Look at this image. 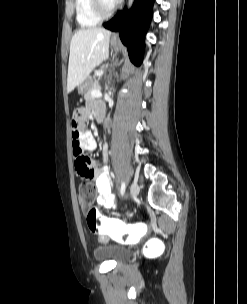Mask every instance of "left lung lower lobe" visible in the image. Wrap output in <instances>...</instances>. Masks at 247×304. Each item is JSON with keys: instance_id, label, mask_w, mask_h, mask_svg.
<instances>
[{"instance_id": "0a47b994", "label": "left lung lower lobe", "mask_w": 247, "mask_h": 304, "mask_svg": "<svg viewBox=\"0 0 247 304\" xmlns=\"http://www.w3.org/2000/svg\"><path fill=\"white\" fill-rule=\"evenodd\" d=\"M154 0H135L132 8L119 12L104 27L111 31H119L120 38L128 47L131 61L140 65L144 50V35L152 19Z\"/></svg>"}]
</instances>
